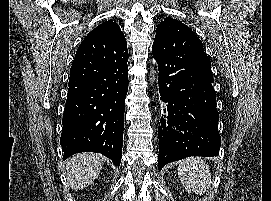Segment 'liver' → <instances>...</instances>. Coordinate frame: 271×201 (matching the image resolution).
<instances>
[{"instance_id":"6515ba94","label":"liver","mask_w":271,"mask_h":201,"mask_svg":"<svg viewBox=\"0 0 271 201\" xmlns=\"http://www.w3.org/2000/svg\"><path fill=\"white\" fill-rule=\"evenodd\" d=\"M104 157L95 153H80L67 161L66 175L70 187L83 189L94 182L100 174Z\"/></svg>"}]
</instances>
